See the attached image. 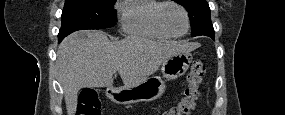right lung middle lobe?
<instances>
[{
    "instance_id": "1",
    "label": "right lung middle lobe",
    "mask_w": 285,
    "mask_h": 115,
    "mask_svg": "<svg viewBox=\"0 0 285 115\" xmlns=\"http://www.w3.org/2000/svg\"><path fill=\"white\" fill-rule=\"evenodd\" d=\"M115 1L65 0L61 15L62 26L58 34L59 41L77 30L113 27L117 19V14L113 10Z\"/></svg>"
}]
</instances>
